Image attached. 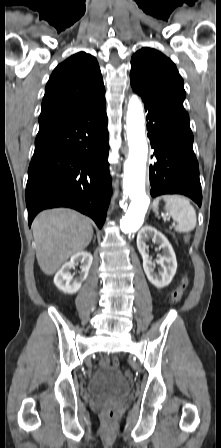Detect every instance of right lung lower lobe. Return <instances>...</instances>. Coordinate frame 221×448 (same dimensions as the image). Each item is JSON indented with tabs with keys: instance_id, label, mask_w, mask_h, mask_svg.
I'll list each match as a JSON object with an SVG mask.
<instances>
[{
	"instance_id": "obj_1",
	"label": "right lung lower lobe",
	"mask_w": 221,
	"mask_h": 448,
	"mask_svg": "<svg viewBox=\"0 0 221 448\" xmlns=\"http://www.w3.org/2000/svg\"><path fill=\"white\" fill-rule=\"evenodd\" d=\"M108 150L105 98L39 129L25 192L29 227L43 209L70 207L101 228L111 193Z\"/></svg>"
}]
</instances>
